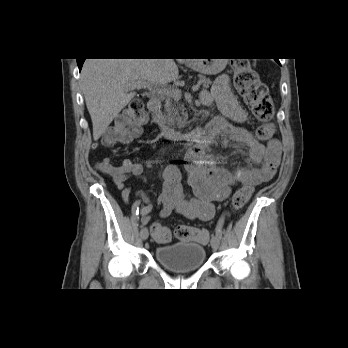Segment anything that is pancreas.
Returning <instances> with one entry per match:
<instances>
[{"instance_id":"pancreas-1","label":"pancreas","mask_w":348,"mask_h":348,"mask_svg":"<svg viewBox=\"0 0 348 348\" xmlns=\"http://www.w3.org/2000/svg\"><path fill=\"white\" fill-rule=\"evenodd\" d=\"M199 83L204 89H208L211 85V80L204 75H199ZM164 122L173 128L182 129L185 127L188 119V114L185 112L184 106L179 102V99L168 96L163 112Z\"/></svg>"}]
</instances>
